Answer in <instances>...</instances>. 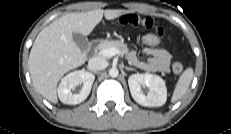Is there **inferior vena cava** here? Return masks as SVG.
Returning <instances> with one entry per match:
<instances>
[{
    "label": "inferior vena cava",
    "instance_id": "obj_1",
    "mask_svg": "<svg viewBox=\"0 0 231 134\" xmlns=\"http://www.w3.org/2000/svg\"><path fill=\"white\" fill-rule=\"evenodd\" d=\"M107 65L108 63L105 59L100 57H93L88 62V69L90 71L96 72L105 69Z\"/></svg>",
    "mask_w": 231,
    "mask_h": 134
}]
</instances>
